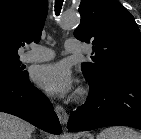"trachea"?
Segmentation results:
<instances>
[{"label":"trachea","mask_w":141,"mask_h":139,"mask_svg":"<svg viewBox=\"0 0 141 139\" xmlns=\"http://www.w3.org/2000/svg\"><path fill=\"white\" fill-rule=\"evenodd\" d=\"M64 0H55V14L58 16L60 14Z\"/></svg>","instance_id":"1"}]
</instances>
